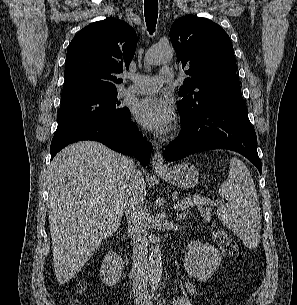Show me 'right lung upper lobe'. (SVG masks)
Here are the masks:
<instances>
[{
    "label": "right lung upper lobe",
    "instance_id": "1",
    "mask_svg": "<svg viewBox=\"0 0 297 305\" xmlns=\"http://www.w3.org/2000/svg\"><path fill=\"white\" fill-rule=\"evenodd\" d=\"M137 45L135 30L124 21L106 19L80 30L72 39L61 100L93 92L117 91V74L129 68Z\"/></svg>",
    "mask_w": 297,
    "mask_h": 305
}]
</instances>
